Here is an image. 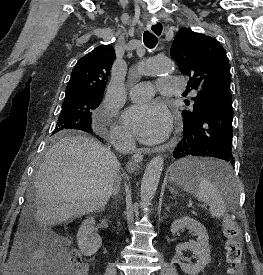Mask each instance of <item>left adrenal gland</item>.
<instances>
[{
    "label": "left adrenal gland",
    "mask_w": 263,
    "mask_h": 275,
    "mask_svg": "<svg viewBox=\"0 0 263 275\" xmlns=\"http://www.w3.org/2000/svg\"><path fill=\"white\" fill-rule=\"evenodd\" d=\"M169 209H170V206L166 207V210H167V211H169Z\"/></svg>",
    "instance_id": "obj_1"
}]
</instances>
